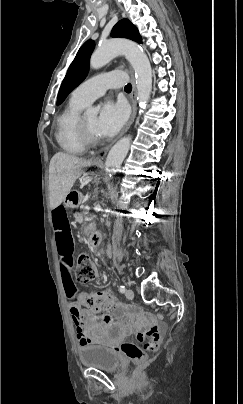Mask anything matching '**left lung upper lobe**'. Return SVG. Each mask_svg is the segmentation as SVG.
Instances as JSON below:
<instances>
[{
    "instance_id": "obj_1",
    "label": "left lung upper lobe",
    "mask_w": 243,
    "mask_h": 404,
    "mask_svg": "<svg viewBox=\"0 0 243 404\" xmlns=\"http://www.w3.org/2000/svg\"><path fill=\"white\" fill-rule=\"evenodd\" d=\"M111 36L128 38L138 43L142 42L137 28L128 19L119 21L113 27ZM94 47L95 42L93 40H88L79 49L61 84L57 98V105L61 104L68 94L75 89L87 76L89 59Z\"/></svg>"
}]
</instances>
